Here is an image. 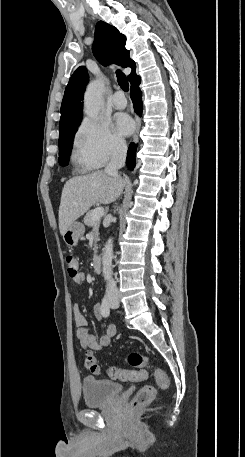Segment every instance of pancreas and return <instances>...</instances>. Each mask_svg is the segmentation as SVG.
Wrapping results in <instances>:
<instances>
[{
    "mask_svg": "<svg viewBox=\"0 0 245 457\" xmlns=\"http://www.w3.org/2000/svg\"><path fill=\"white\" fill-rule=\"evenodd\" d=\"M92 212H93V210H88V212H86V214L84 216V222H85V224H88V226H92V231L94 233V241L96 243V241H100V239H98L100 218H97V220H93V218L91 216ZM93 251L96 255V253L98 251L97 245H94Z\"/></svg>",
    "mask_w": 245,
    "mask_h": 457,
    "instance_id": "obj_1",
    "label": "pancreas"
}]
</instances>
